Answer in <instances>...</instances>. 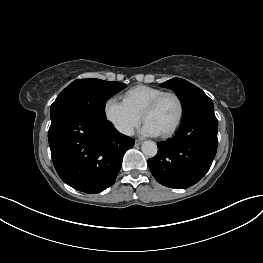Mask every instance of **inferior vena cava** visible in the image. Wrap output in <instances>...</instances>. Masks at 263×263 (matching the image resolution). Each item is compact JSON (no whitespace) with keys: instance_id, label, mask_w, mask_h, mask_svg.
<instances>
[{"instance_id":"1","label":"inferior vena cava","mask_w":263,"mask_h":263,"mask_svg":"<svg viewBox=\"0 0 263 263\" xmlns=\"http://www.w3.org/2000/svg\"><path fill=\"white\" fill-rule=\"evenodd\" d=\"M125 134L126 135H133L134 134V131H133V128H128L126 131H125Z\"/></svg>"}]
</instances>
